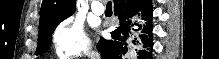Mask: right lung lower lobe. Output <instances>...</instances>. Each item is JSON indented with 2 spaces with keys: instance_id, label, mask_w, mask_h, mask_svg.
<instances>
[{
  "instance_id": "right-lung-lower-lobe-1",
  "label": "right lung lower lobe",
  "mask_w": 219,
  "mask_h": 59,
  "mask_svg": "<svg viewBox=\"0 0 219 59\" xmlns=\"http://www.w3.org/2000/svg\"><path fill=\"white\" fill-rule=\"evenodd\" d=\"M114 10L120 26L111 32V39L100 38L97 48L102 59H122L128 52L129 42L135 40L142 43L139 59H150L153 46L151 0H114ZM135 25L139 29H135Z\"/></svg>"
}]
</instances>
